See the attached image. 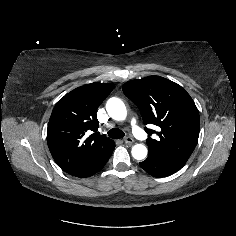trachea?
Returning <instances> with one entry per match:
<instances>
[{
    "label": "trachea",
    "mask_w": 236,
    "mask_h": 236,
    "mask_svg": "<svg viewBox=\"0 0 236 236\" xmlns=\"http://www.w3.org/2000/svg\"><path fill=\"white\" fill-rule=\"evenodd\" d=\"M108 136L110 138H114V139H120L123 138L125 136L124 132L118 128H112L109 132H108Z\"/></svg>",
    "instance_id": "1"
}]
</instances>
